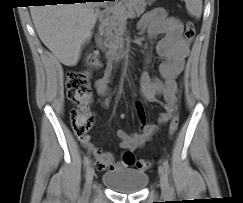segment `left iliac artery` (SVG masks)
Segmentation results:
<instances>
[{"label":"left iliac artery","instance_id":"44dca946","mask_svg":"<svg viewBox=\"0 0 243 203\" xmlns=\"http://www.w3.org/2000/svg\"><path fill=\"white\" fill-rule=\"evenodd\" d=\"M163 166L166 170V173L169 175L170 174V166H169L168 160H166V159L163 160ZM169 188H170V190L173 189L172 186H170Z\"/></svg>","mask_w":243,"mask_h":203}]
</instances>
